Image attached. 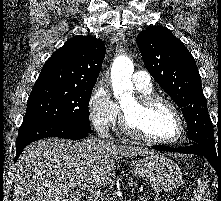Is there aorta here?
Masks as SVG:
<instances>
[{
  "instance_id": "obj_1",
  "label": "aorta",
  "mask_w": 221,
  "mask_h": 201,
  "mask_svg": "<svg viewBox=\"0 0 221 201\" xmlns=\"http://www.w3.org/2000/svg\"><path fill=\"white\" fill-rule=\"evenodd\" d=\"M133 63L127 57H119L115 60L111 70L112 86L116 98L130 96L133 90L131 76Z\"/></svg>"
}]
</instances>
